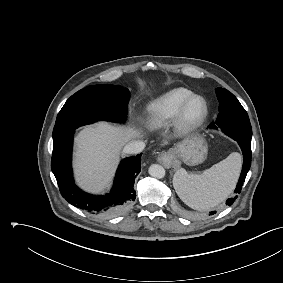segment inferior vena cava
I'll return each instance as SVG.
<instances>
[{"instance_id":"1","label":"inferior vena cava","mask_w":283,"mask_h":283,"mask_svg":"<svg viewBox=\"0 0 283 283\" xmlns=\"http://www.w3.org/2000/svg\"><path fill=\"white\" fill-rule=\"evenodd\" d=\"M145 148V143L139 140H133L129 142L123 149L124 153L127 154H138Z\"/></svg>"}]
</instances>
